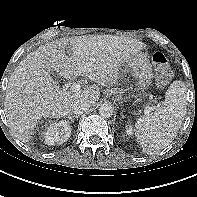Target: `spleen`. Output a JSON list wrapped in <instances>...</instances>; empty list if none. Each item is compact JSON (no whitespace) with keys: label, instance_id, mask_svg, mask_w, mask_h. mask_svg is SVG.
I'll return each mask as SVG.
<instances>
[{"label":"spleen","instance_id":"obj_1","mask_svg":"<svg viewBox=\"0 0 197 197\" xmlns=\"http://www.w3.org/2000/svg\"><path fill=\"white\" fill-rule=\"evenodd\" d=\"M186 106V85L176 80L155 112L140 117L135 123V136L145 153L157 152L170 145L182 125Z\"/></svg>","mask_w":197,"mask_h":197}]
</instances>
